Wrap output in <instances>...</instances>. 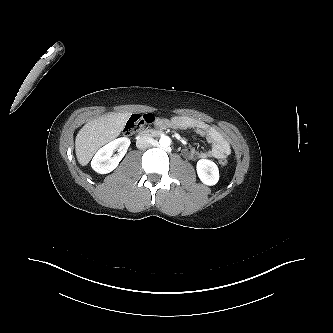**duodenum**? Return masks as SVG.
Instances as JSON below:
<instances>
[{
  "label": "duodenum",
  "instance_id": "410a0bca",
  "mask_svg": "<svg viewBox=\"0 0 333 333\" xmlns=\"http://www.w3.org/2000/svg\"><path fill=\"white\" fill-rule=\"evenodd\" d=\"M162 131H159V130H143V131H140L137 136H136V140H137V143H142L144 141H147L149 139H152L156 136H160L162 135Z\"/></svg>",
  "mask_w": 333,
  "mask_h": 333
}]
</instances>
